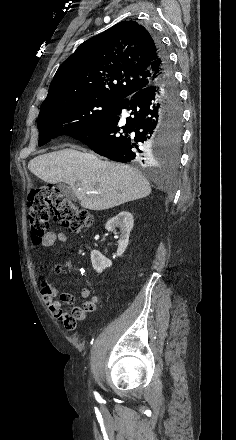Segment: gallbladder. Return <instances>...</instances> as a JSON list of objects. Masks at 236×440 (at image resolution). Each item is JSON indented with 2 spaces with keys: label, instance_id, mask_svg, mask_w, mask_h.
Returning <instances> with one entry per match:
<instances>
[{
  "label": "gallbladder",
  "instance_id": "obj_1",
  "mask_svg": "<svg viewBox=\"0 0 236 440\" xmlns=\"http://www.w3.org/2000/svg\"><path fill=\"white\" fill-rule=\"evenodd\" d=\"M58 188L63 193V195H65L67 198H69L71 200H76V197H75L74 193L72 192L71 188L68 187L65 183H62V182L59 183Z\"/></svg>",
  "mask_w": 236,
  "mask_h": 440
}]
</instances>
